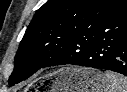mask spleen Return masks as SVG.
Wrapping results in <instances>:
<instances>
[{
    "instance_id": "obj_1",
    "label": "spleen",
    "mask_w": 127,
    "mask_h": 92,
    "mask_svg": "<svg viewBox=\"0 0 127 92\" xmlns=\"http://www.w3.org/2000/svg\"><path fill=\"white\" fill-rule=\"evenodd\" d=\"M105 77L110 83L108 92H127V77L111 71H106Z\"/></svg>"
}]
</instances>
